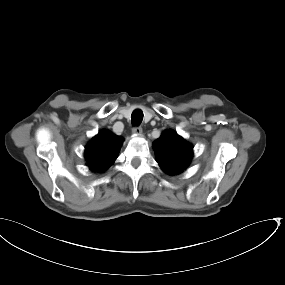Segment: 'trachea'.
I'll return each instance as SVG.
<instances>
[{"mask_svg":"<svg viewBox=\"0 0 285 285\" xmlns=\"http://www.w3.org/2000/svg\"><path fill=\"white\" fill-rule=\"evenodd\" d=\"M143 120V112L139 109L133 111L131 115L132 124L135 126H139Z\"/></svg>","mask_w":285,"mask_h":285,"instance_id":"trachea-1","label":"trachea"}]
</instances>
